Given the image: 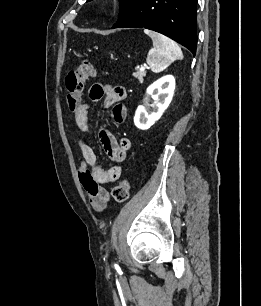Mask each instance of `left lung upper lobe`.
<instances>
[{
	"instance_id": "5c2ea615",
	"label": "left lung upper lobe",
	"mask_w": 261,
	"mask_h": 306,
	"mask_svg": "<svg viewBox=\"0 0 261 306\" xmlns=\"http://www.w3.org/2000/svg\"><path fill=\"white\" fill-rule=\"evenodd\" d=\"M119 1L121 3V12L118 19L123 17L130 10V8L133 6L136 0H119Z\"/></svg>"
}]
</instances>
